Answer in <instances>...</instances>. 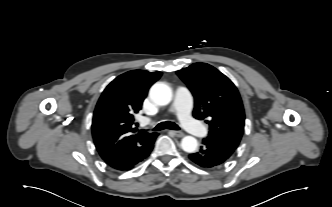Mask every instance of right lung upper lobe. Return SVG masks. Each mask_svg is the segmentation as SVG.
I'll use <instances>...</instances> for the list:
<instances>
[{
	"mask_svg": "<svg viewBox=\"0 0 332 207\" xmlns=\"http://www.w3.org/2000/svg\"><path fill=\"white\" fill-rule=\"evenodd\" d=\"M161 72L133 70L115 78L96 105L92 134L102 159L112 168L127 170L150 149L157 133L138 130L134 115L142 108L149 88Z\"/></svg>",
	"mask_w": 332,
	"mask_h": 207,
	"instance_id": "obj_1",
	"label": "right lung upper lobe"
}]
</instances>
